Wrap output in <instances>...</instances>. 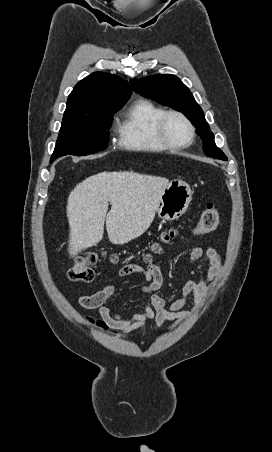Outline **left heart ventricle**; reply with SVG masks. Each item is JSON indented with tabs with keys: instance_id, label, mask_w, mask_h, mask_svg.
Returning <instances> with one entry per match:
<instances>
[{
	"instance_id": "1",
	"label": "left heart ventricle",
	"mask_w": 272,
	"mask_h": 452,
	"mask_svg": "<svg viewBox=\"0 0 272 452\" xmlns=\"http://www.w3.org/2000/svg\"><path fill=\"white\" fill-rule=\"evenodd\" d=\"M167 133L176 143H184L189 139V131L186 124L178 117H170L167 120Z\"/></svg>"
}]
</instances>
